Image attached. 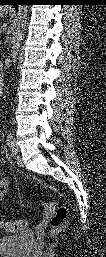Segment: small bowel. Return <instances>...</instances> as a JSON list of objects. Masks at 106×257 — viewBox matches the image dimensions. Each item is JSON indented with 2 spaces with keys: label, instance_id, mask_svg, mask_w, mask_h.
Here are the masks:
<instances>
[{
  "label": "small bowel",
  "instance_id": "c3829d8e",
  "mask_svg": "<svg viewBox=\"0 0 106 257\" xmlns=\"http://www.w3.org/2000/svg\"><path fill=\"white\" fill-rule=\"evenodd\" d=\"M9 182L6 179L4 173L1 171V180H0V197L2 198L7 191Z\"/></svg>",
  "mask_w": 106,
  "mask_h": 257
}]
</instances>
